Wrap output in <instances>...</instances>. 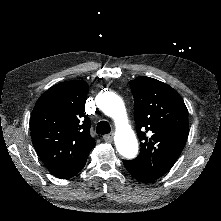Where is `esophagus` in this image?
Returning <instances> with one entry per match:
<instances>
[{
	"instance_id": "1",
	"label": "esophagus",
	"mask_w": 221,
	"mask_h": 221,
	"mask_svg": "<svg viewBox=\"0 0 221 221\" xmlns=\"http://www.w3.org/2000/svg\"><path fill=\"white\" fill-rule=\"evenodd\" d=\"M103 139L107 143H111L113 141V133L103 136Z\"/></svg>"
}]
</instances>
